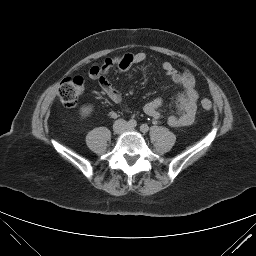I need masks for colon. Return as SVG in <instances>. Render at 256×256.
Here are the masks:
<instances>
[{
    "label": "colon",
    "mask_w": 256,
    "mask_h": 256,
    "mask_svg": "<svg viewBox=\"0 0 256 256\" xmlns=\"http://www.w3.org/2000/svg\"><path fill=\"white\" fill-rule=\"evenodd\" d=\"M91 78L99 79L102 75V66L95 64L89 70ZM84 92V81L81 77H69L64 79L59 87V98L63 105L67 107L74 106ZM201 107L205 111L212 108V102L209 99H202Z\"/></svg>",
    "instance_id": "5ec220e1"
}]
</instances>
